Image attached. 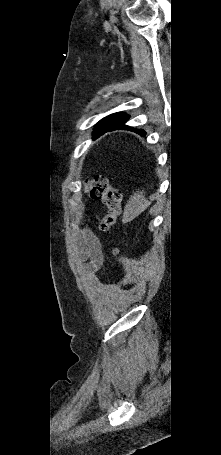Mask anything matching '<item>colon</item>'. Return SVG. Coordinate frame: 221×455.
I'll return each instance as SVG.
<instances>
[{
    "label": "colon",
    "mask_w": 221,
    "mask_h": 455,
    "mask_svg": "<svg viewBox=\"0 0 221 455\" xmlns=\"http://www.w3.org/2000/svg\"><path fill=\"white\" fill-rule=\"evenodd\" d=\"M84 190L93 199L100 200L107 211L102 215L100 227L108 229L113 226L120 215L121 192L114 188L104 176H97L85 182Z\"/></svg>",
    "instance_id": "obj_1"
}]
</instances>
